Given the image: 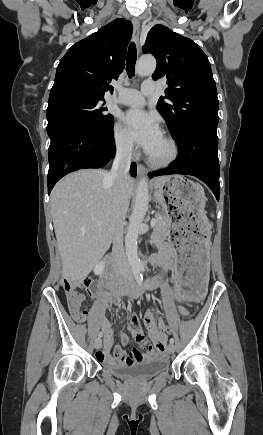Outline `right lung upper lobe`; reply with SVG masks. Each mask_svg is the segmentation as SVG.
Masks as SVG:
<instances>
[{"instance_id": "right-lung-upper-lobe-1", "label": "right lung upper lobe", "mask_w": 263, "mask_h": 435, "mask_svg": "<svg viewBox=\"0 0 263 435\" xmlns=\"http://www.w3.org/2000/svg\"><path fill=\"white\" fill-rule=\"evenodd\" d=\"M132 24L116 19L74 44L61 59L48 106L77 99H104L125 67Z\"/></svg>"}]
</instances>
